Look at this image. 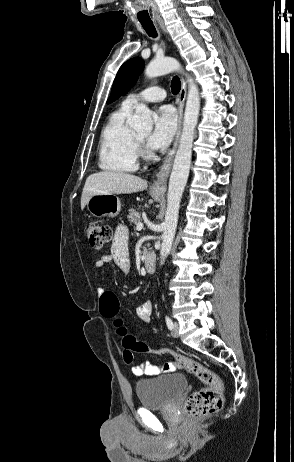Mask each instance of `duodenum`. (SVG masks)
<instances>
[{"instance_id":"410a0bca","label":"duodenum","mask_w":294,"mask_h":462,"mask_svg":"<svg viewBox=\"0 0 294 462\" xmlns=\"http://www.w3.org/2000/svg\"><path fill=\"white\" fill-rule=\"evenodd\" d=\"M144 266L148 273H152L156 267V257L154 252L148 251L144 256Z\"/></svg>"}]
</instances>
